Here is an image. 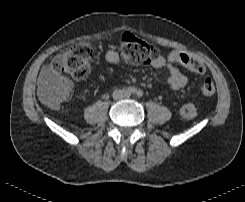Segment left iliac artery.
I'll use <instances>...</instances> for the list:
<instances>
[{
    "mask_svg": "<svg viewBox=\"0 0 245 202\" xmlns=\"http://www.w3.org/2000/svg\"><path fill=\"white\" fill-rule=\"evenodd\" d=\"M136 96H137L138 98L142 97V96H143V91H142V90H137V91H136Z\"/></svg>",
    "mask_w": 245,
    "mask_h": 202,
    "instance_id": "left-iliac-artery-1",
    "label": "left iliac artery"
}]
</instances>
